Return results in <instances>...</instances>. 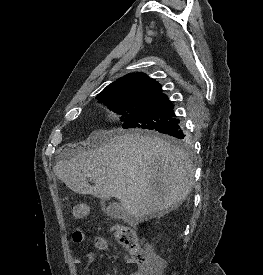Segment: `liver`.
Here are the masks:
<instances>
[{
  "mask_svg": "<svg viewBox=\"0 0 263 275\" xmlns=\"http://www.w3.org/2000/svg\"><path fill=\"white\" fill-rule=\"evenodd\" d=\"M84 145L87 150L57 162L55 175L78 194L102 200L117 198L130 223L164 216L192 190L191 160L182 149L157 135L97 130Z\"/></svg>",
  "mask_w": 263,
  "mask_h": 275,
  "instance_id": "1",
  "label": "liver"
}]
</instances>
